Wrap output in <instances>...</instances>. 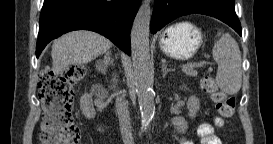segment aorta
Masks as SVG:
<instances>
[{
  "mask_svg": "<svg viewBox=\"0 0 273 144\" xmlns=\"http://www.w3.org/2000/svg\"><path fill=\"white\" fill-rule=\"evenodd\" d=\"M151 8L145 3L139 8L131 30V51L134 79L143 125H148L155 113L151 73L149 33Z\"/></svg>",
  "mask_w": 273,
  "mask_h": 144,
  "instance_id": "762f6f07",
  "label": "aorta"
}]
</instances>
